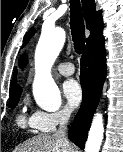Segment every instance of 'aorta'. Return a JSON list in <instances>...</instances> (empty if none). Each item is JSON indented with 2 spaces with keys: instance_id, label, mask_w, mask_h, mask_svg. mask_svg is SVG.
<instances>
[{
  "instance_id": "aorta-1",
  "label": "aorta",
  "mask_w": 123,
  "mask_h": 152,
  "mask_svg": "<svg viewBox=\"0 0 123 152\" xmlns=\"http://www.w3.org/2000/svg\"><path fill=\"white\" fill-rule=\"evenodd\" d=\"M65 42V31L56 27L43 29L35 51V79L33 94L37 105L48 112L57 111L61 106L60 91L51 77L50 69L56 61ZM102 115L97 113L92 121L86 152H99L103 140Z\"/></svg>"
}]
</instances>
